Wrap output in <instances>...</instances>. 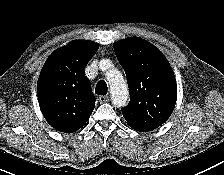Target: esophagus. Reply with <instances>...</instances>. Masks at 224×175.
Here are the masks:
<instances>
[{
    "mask_svg": "<svg viewBox=\"0 0 224 175\" xmlns=\"http://www.w3.org/2000/svg\"><path fill=\"white\" fill-rule=\"evenodd\" d=\"M109 101V96L108 95H101L99 97V102L100 103H107Z\"/></svg>",
    "mask_w": 224,
    "mask_h": 175,
    "instance_id": "1",
    "label": "esophagus"
}]
</instances>
